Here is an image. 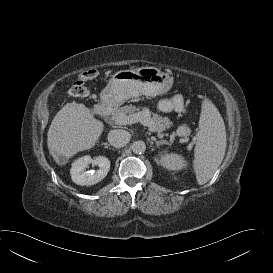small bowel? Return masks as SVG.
Returning a JSON list of instances; mask_svg holds the SVG:
<instances>
[{"label":"small bowel","mask_w":273,"mask_h":273,"mask_svg":"<svg viewBox=\"0 0 273 273\" xmlns=\"http://www.w3.org/2000/svg\"><path fill=\"white\" fill-rule=\"evenodd\" d=\"M158 107L160 110L168 112V111H184V102L181 95H174L170 98H164L159 101Z\"/></svg>","instance_id":"c3829d8e"}]
</instances>
